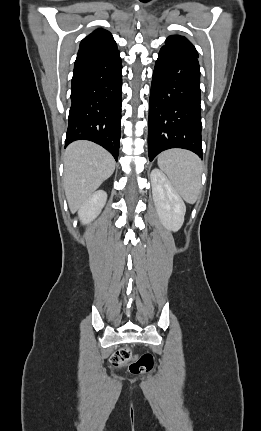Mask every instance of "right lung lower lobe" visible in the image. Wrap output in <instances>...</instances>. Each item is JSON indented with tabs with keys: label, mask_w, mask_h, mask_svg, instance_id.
I'll use <instances>...</instances> for the list:
<instances>
[{
	"label": "right lung lower lobe",
	"mask_w": 261,
	"mask_h": 431,
	"mask_svg": "<svg viewBox=\"0 0 261 431\" xmlns=\"http://www.w3.org/2000/svg\"><path fill=\"white\" fill-rule=\"evenodd\" d=\"M122 104V64L118 49L79 53L72 77L65 147L93 141L118 159Z\"/></svg>",
	"instance_id": "1"
}]
</instances>
